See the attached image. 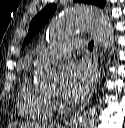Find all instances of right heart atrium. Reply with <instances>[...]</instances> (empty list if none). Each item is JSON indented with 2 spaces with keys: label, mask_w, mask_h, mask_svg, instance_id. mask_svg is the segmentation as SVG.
<instances>
[{
  "label": "right heart atrium",
  "mask_w": 125,
  "mask_h": 128,
  "mask_svg": "<svg viewBox=\"0 0 125 128\" xmlns=\"http://www.w3.org/2000/svg\"><path fill=\"white\" fill-rule=\"evenodd\" d=\"M50 101H51V103L53 104L54 107L57 106L58 103L54 98H50Z\"/></svg>",
  "instance_id": "1"
}]
</instances>
